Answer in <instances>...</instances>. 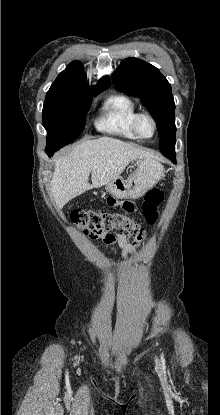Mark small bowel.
Returning a JSON list of instances; mask_svg holds the SVG:
<instances>
[{
    "label": "small bowel",
    "instance_id": "1",
    "mask_svg": "<svg viewBox=\"0 0 220 415\" xmlns=\"http://www.w3.org/2000/svg\"><path fill=\"white\" fill-rule=\"evenodd\" d=\"M86 234L93 240H102L108 245H116L120 249H122L124 253H129L133 250L132 246L129 244L127 240V237L123 233H117V234L104 233L100 236V235H97L95 233H92L86 230Z\"/></svg>",
    "mask_w": 220,
    "mask_h": 415
}]
</instances>
